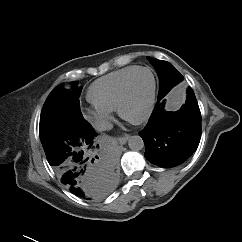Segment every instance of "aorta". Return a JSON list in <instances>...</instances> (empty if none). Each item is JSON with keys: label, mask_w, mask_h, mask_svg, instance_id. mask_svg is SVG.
<instances>
[{"label": "aorta", "mask_w": 242, "mask_h": 242, "mask_svg": "<svg viewBox=\"0 0 242 242\" xmlns=\"http://www.w3.org/2000/svg\"><path fill=\"white\" fill-rule=\"evenodd\" d=\"M128 146L133 151H139L144 148V141L139 135L130 136L128 139Z\"/></svg>", "instance_id": "aorta-1"}]
</instances>
